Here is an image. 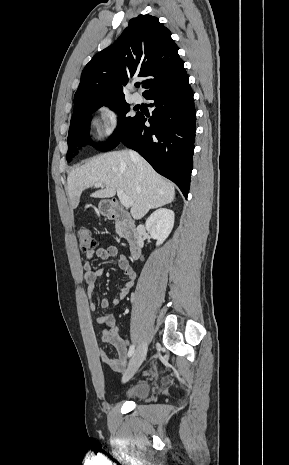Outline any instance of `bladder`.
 I'll list each match as a JSON object with an SVG mask.
<instances>
[{
    "mask_svg": "<svg viewBox=\"0 0 289 465\" xmlns=\"http://www.w3.org/2000/svg\"><path fill=\"white\" fill-rule=\"evenodd\" d=\"M150 393V384L147 381H139L133 384L125 393L130 400L145 399Z\"/></svg>",
    "mask_w": 289,
    "mask_h": 465,
    "instance_id": "1",
    "label": "bladder"
}]
</instances>
